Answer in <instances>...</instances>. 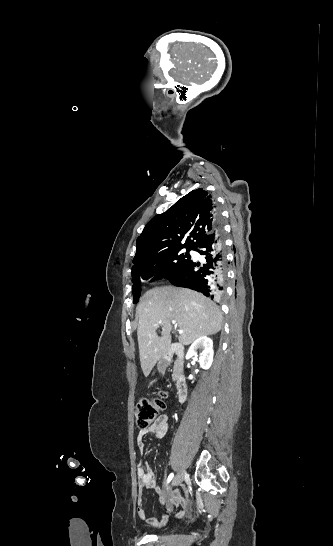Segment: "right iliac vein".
Listing matches in <instances>:
<instances>
[{
  "label": "right iliac vein",
  "mask_w": 333,
  "mask_h": 546,
  "mask_svg": "<svg viewBox=\"0 0 333 546\" xmlns=\"http://www.w3.org/2000/svg\"><path fill=\"white\" fill-rule=\"evenodd\" d=\"M185 477V472L184 471H180L176 476L175 478L173 479L172 481V486H177L179 485L183 479Z\"/></svg>",
  "instance_id": "63e3f726"
}]
</instances>
